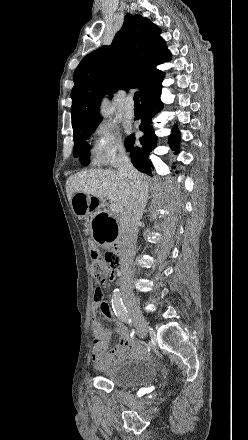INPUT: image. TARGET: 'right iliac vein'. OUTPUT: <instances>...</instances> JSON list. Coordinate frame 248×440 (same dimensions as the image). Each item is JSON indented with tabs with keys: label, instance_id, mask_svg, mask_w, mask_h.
<instances>
[{
	"label": "right iliac vein",
	"instance_id": "63e3f726",
	"mask_svg": "<svg viewBox=\"0 0 248 440\" xmlns=\"http://www.w3.org/2000/svg\"><path fill=\"white\" fill-rule=\"evenodd\" d=\"M124 300L136 329L141 335H145L148 329V323L137 306L135 298L133 296H126Z\"/></svg>",
	"mask_w": 248,
	"mask_h": 440
}]
</instances>
